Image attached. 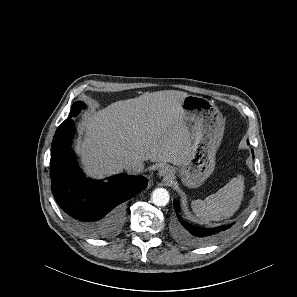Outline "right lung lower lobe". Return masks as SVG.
Listing matches in <instances>:
<instances>
[{"instance_id":"98d812e1","label":"right lung lower lobe","mask_w":297,"mask_h":297,"mask_svg":"<svg viewBox=\"0 0 297 297\" xmlns=\"http://www.w3.org/2000/svg\"><path fill=\"white\" fill-rule=\"evenodd\" d=\"M74 117H68L56 130L51 147L52 192L62 210L82 233L93 238L112 235L121 225L120 204L144 190L142 176L120 174L109 182L86 178L71 148L75 133Z\"/></svg>"}]
</instances>
